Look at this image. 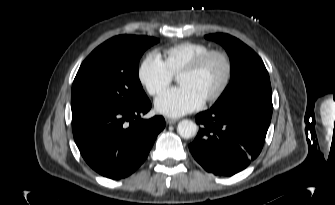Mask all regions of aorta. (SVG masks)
<instances>
[{
  "instance_id": "obj_1",
  "label": "aorta",
  "mask_w": 335,
  "mask_h": 205,
  "mask_svg": "<svg viewBox=\"0 0 335 205\" xmlns=\"http://www.w3.org/2000/svg\"><path fill=\"white\" fill-rule=\"evenodd\" d=\"M198 127L191 120H182L178 123L177 132L184 139H190L197 134Z\"/></svg>"
}]
</instances>
